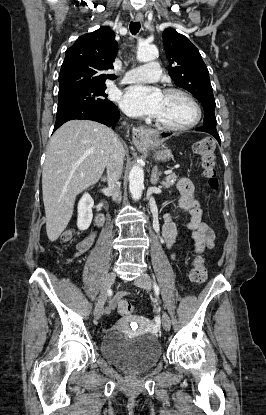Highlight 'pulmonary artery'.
Instances as JSON below:
<instances>
[{"label": "pulmonary artery", "mask_w": 266, "mask_h": 415, "mask_svg": "<svg viewBox=\"0 0 266 415\" xmlns=\"http://www.w3.org/2000/svg\"><path fill=\"white\" fill-rule=\"evenodd\" d=\"M160 66L157 62H150L128 70L122 80L123 83L154 82L160 78Z\"/></svg>", "instance_id": "e3ab8cb5"}]
</instances>
